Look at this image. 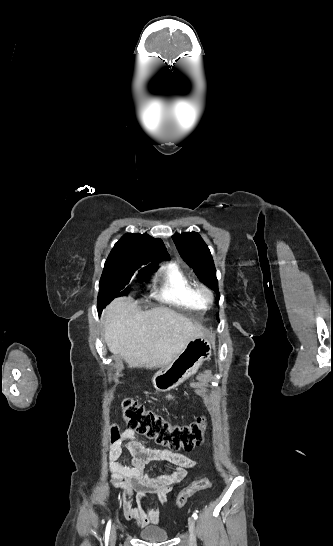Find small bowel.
<instances>
[{
	"label": "small bowel",
	"mask_w": 333,
	"mask_h": 546,
	"mask_svg": "<svg viewBox=\"0 0 333 546\" xmlns=\"http://www.w3.org/2000/svg\"><path fill=\"white\" fill-rule=\"evenodd\" d=\"M167 400H174L176 396L166 395ZM125 445L133 455L130 465L118 462ZM151 461H163L176 466L169 474L151 475L145 472V465ZM196 465V461L182 453L164 449L148 448L140 443L131 429H124L109 449V469L111 471V485L115 488L128 487L134 494L129 493L123 502V513L127 520H134L139 526L158 524L159 512L145 506L146 497L155 494L160 503L167 505L169 489L182 481L187 469ZM135 501V505L132 502Z\"/></svg>",
	"instance_id": "1"
}]
</instances>
